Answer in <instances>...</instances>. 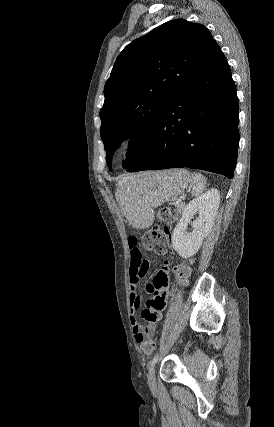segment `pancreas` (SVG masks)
<instances>
[{
	"label": "pancreas",
	"mask_w": 274,
	"mask_h": 427,
	"mask_svg": "<svg viewBox=\"0 0 274 427\" xmlns=\"http://www.w3.org/2000/svg\"><path fill=\"white\" fill-rule=\"evenodd\" d=\"M184 206H185V204H183V202H180V204H175V212L177 215L181 214V212H183Z\"/></svg>",
	"instance_id": "cf45deb5"
}]
</instances>
